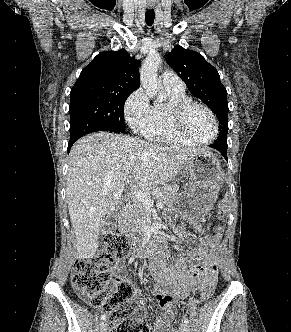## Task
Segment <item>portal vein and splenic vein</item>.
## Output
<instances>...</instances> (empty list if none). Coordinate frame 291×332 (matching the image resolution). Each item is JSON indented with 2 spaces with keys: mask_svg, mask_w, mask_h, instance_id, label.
<instances>
[{
  "mask_svg": "<svg viewBox=\"0 0 291 332\" xmlns=\"http://www.w3.org/2000/svg\"><path fill=\"white\" fill-rule=\"evenodd\" d=\"M122 190H120L119 192H117L116 194H114V198L119 200L122 197ZM127 197H131V198H135L136 200H138L139 202L148 205V206H152L154 204L152 198H151V194L148 192H142V191H134L131 192L130 194L126 195ZM157 208H162L163 204L162 203H157L156 204Z\"/></svg>",
  "mask_w": 291,
  "mask_h": 332,
  "instance_id": "1",
  "label": "portal vein and splenic vein"
}]
</instances>
